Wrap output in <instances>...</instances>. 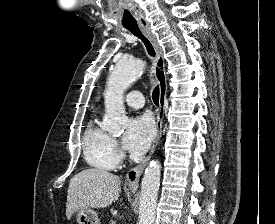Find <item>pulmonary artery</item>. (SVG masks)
I'll return each instance as SVG.
<instances>
[{"label":"pulmonary artery","mask_w":275,"mask_h":224,"mask_svg":"<svg viewBox=\"0 0 275 224\" xmlns=\"http://www.w3.org/2000/svg\"><path fill=\"white\" fill-rule=\"evenodd\" d=\"M125 102L129 107L136 109L143 108L145 106L144 96L139 91L130 92L126 96Z\"/></svg>","instance_id":"obj_1"}]
</instances>
